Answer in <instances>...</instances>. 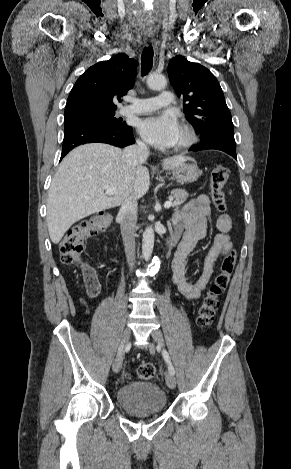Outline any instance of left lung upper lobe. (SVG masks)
I'll list each match as a JSON object with an SVG mask.
<instances>
[{
    "mask_svg": "<svg viewBox=\"0 0 291 469\" xmlns=\"http://www.w3.org/2000/svg\"><path fill=\"white\" fill-rule=\"evenodd\" d=\"M170 82L183 97L187 121L199 131L201 141L217 136L234 138L231 113L216 77L204 66L174 57L168 66Z\"/></svg>",
    "mask_w": 291,
    "mask_h": 469,
    "instance_id": "1",
    "label": "left lung upper lobe"
}]
</instances>
